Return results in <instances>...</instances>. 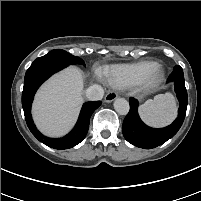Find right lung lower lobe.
<instances>
[{
    "instance_id": "1",
    "label": "right lung lower lobe",
    "mask_w": 201,
    "mask_h": 201,
    "mask_svg": "<svg viewBox=\"0 0 201 201\" xmlns=\"http://www.w3.org/2000/svg\"><path fill=\"white\" fill-rule=\"evenodd\" d=\"M71 63L59 54H46L37 58L29 67L24 78L22 92V106L26 123L32 134L42 143L54 149H69L79 144L86 136L92 113L101 105L100 101L86 102L80 112V116L74 129L63 138H49L41 134L31 117V104L34 94L39 86L51 75Z\"/></svg>"
}]
</instances>
